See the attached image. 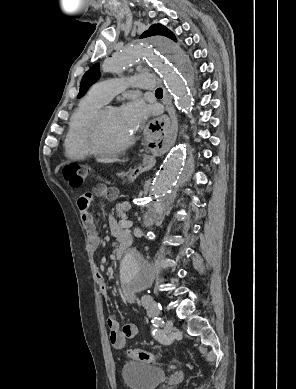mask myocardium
I'll list each match as a JSON object with an SVG mask.
<instances>
[{
  "mask_svg": "<svg viewBox=\"0 0 296 389\" xmlns=\"http://www.w3.org/2000/svg\"><path fill=\"white\" fill-rule=\"evenodd\" d=\"M111 110H117L113 106H103L94 115L87 133V147L91 154L94 155H114L128 149L134 142V137L131 136L126 142L119 146L107 147L101 141L102 123L106 114Z\"/></svg>",
  "mask_w": 296,
  "mask_h": 389,
  "instance_id": "1",
  "label": "myocardium"
}]
</instances>
